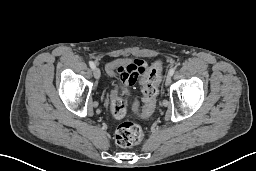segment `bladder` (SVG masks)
Segmentation results:
<instances>
[{
  "mask_svg": "<svg viewBox=\"0 0 256 171\" xmlns=\"http://www.w3.org/2000/svg\"><path fill=\"white\" fill-rule=\"evenodd\" d=\"M108 72L111 74L113 72L112 69H109ZM121 91L124 93V94H129V89H128V86L126 84H123V86L121 87Z\"/></svg>",
  "mask_w": 256,
  "mask_h": 171,
  "instance_id": "bladder-1",
  "label": "bladder"
}]
</instances>
